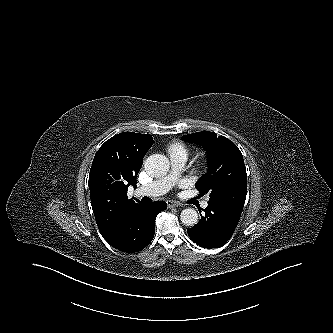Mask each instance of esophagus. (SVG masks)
<instances>
[{
	"mask_svg": "<svg viewBox=\"0 0 333 333\" xmlns=\"http://www.w3.org/2000/svg\"><path fill=\"white\" fill-rule=\"evenodd\" d=\"M167 206H168V208H173V207L181 206V204L178 203V202H175V201L168 200L167 201Z\"/></svg>",
	"mask_w": 333,
	"mask_h": 333,
	"instance_id": "1",
	"label": "esophagus"
}]
</instances>
